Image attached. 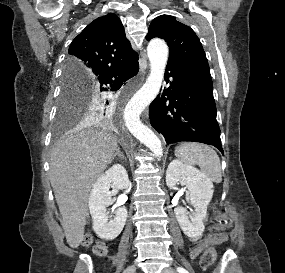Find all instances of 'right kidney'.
<instances>
[{"instance_id":"1","label":"right kidney","mask_w":285,"mask_h":273,"mask_svg":"<svg viewBox=\"0 0 285 273\" xmlns=\"http://www.w3.org/2000/svg\"><path fill=\"white\" fill-rule=\"evenodd\" d=\"M111 185L120 190L129 186L128 174L120 164L113 165L96 180L88 200L93 221L92 228L97 236L104 240H113L121 233L128 214L126 207L123 206L114 211L113 218L108 215L107 207L113 203L109 191Z\"/></svg>"}]
</instances>
